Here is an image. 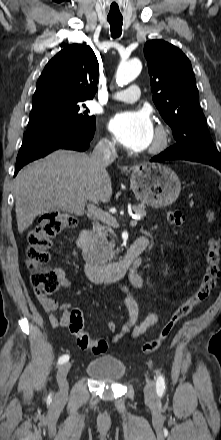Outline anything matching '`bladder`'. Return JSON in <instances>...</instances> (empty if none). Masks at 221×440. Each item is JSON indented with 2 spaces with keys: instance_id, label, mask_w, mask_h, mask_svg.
<instances>
[{
  "instance_id": "31cf9c89",
  "label": "bladder",
  "mask_w": 221,
  "mask_h": 440,
  "mask_svg": "<svg viewBox=\"0 0 221 440\" xmlns=\"http://www.w3.org/2000/svg\"><path fill=\"white\" fill-rule=\"evenodd\" d=\"M85 370L95 380L117 382L125 376L126 365L115 356L105 355L90 360Z\"/></svg>"
}]
</instances>
